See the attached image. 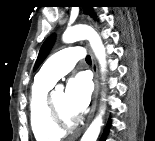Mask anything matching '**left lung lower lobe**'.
<instances>
[{
    "label": "left lung lower lobe",
    "instance_id": "0a47b994",
    "mask_svg": "<svg viewBox=\"0 0 155 141\" xmlns=\"http://www.w3.org/2000/svg\"><path fill=\"white\" fill-rule=\"evenodd\" d=\"M109 126H110V123H108V125H107V127H106V129H105V132H104V134H103V136H102V138H101L100 141H105V137H106V135H107V133H108Z\"/></svg>",
    "mask_w": 155,
    "mask_h": 141
}]
</instances>
